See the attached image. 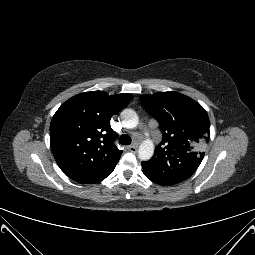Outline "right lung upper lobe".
Here are the masks:
<instances>
[{
  "mask_svg": "<svg viewBox=\"0 0 255 255\" xmlns=\"http://www.w3.org/2000/svg\"><path fill=\"white\" fill-rule=\"evenodd\" d=\"M131 98L130 94L85 92L70 98L56 111L50 124L51 149L69 178L94 184L112 173L122 150L114 144L116 134L110 119Z\"/></svg>",
  "mask_w": 255,
  "mask_h": 255,
  "instance_id": "obj_1",
  "label": "right lung upper lobe"
}]
</instances>
